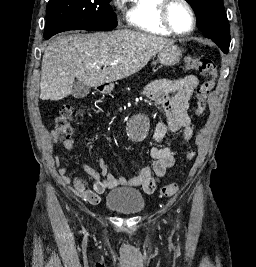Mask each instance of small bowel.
<instances>
[{
  "label": "small bowel",
  "mask_w": 256,
  "mask_h": 267,
  "mask_svg": "<svg viewBox=\"0 0 256 267\" xmlns=\"http://www.w3.org/2000/svg\"><path fill=\"white\" fill-rule=\"evenodd\" d=\"M199 84L198 78L193 74H186L176 79H157L142 88L141 94L161 104L166 120L156 124L154 138L158 143L168 144L162 148L152 147L150 155L153 159L152 168L148 165L138 166L136 175L126 179L112 173L104 159L98 160L99 171L82 165L83 170L92 178V187L86 188L78 179H72L67 169L61 165L60 157L56 156L59 183L67 187L75 196L84 201L97 205L100 196L108 189L118 187H140L147 194H153L158 189L159 180L165 175L175 162L180 149L184 148L192 139L194 129L187 113L190 99ZM182 132V144L179 149H173L170 142L178 133ZM52 140H58L57 134H52ZM64 148L71 154L77 148L74 139L66 140Z\"/></svg>",
  "instance_id": "obj_1"
}]
</instances>
